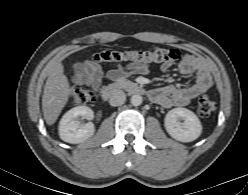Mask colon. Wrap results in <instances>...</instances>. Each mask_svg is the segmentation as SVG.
I'll list each match as a JSON object with an SVG mask.
<instances>
[{
    "label": "colon",
    "instance_id": "obj_1",
    "mask_svg": "<svg viewBox=\"0 0 248 195\" xmlns=\"http://www.w3.org/2000/svg\"><path fill=\"white\" fill-rule=\"evenodd\" d=\"M182 52L179 49H166L159 46L147 50H111L102 51L93 56L97 63L123 66L129 63L153 64L180 59ZM92 90L75 87L70 91V99L74 105H84L94 99ZM216 103L208 96H201L197 102V112L200 117L207 118L213 114Z\"/></svg>",
    "mask_w": 248,
    "mask_h": 195
}]
</instances>
